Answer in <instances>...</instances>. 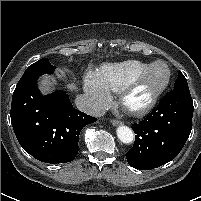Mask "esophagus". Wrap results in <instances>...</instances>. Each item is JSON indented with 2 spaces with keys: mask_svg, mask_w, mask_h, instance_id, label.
<instances>
[{
  "mask_svg": "<svg viewBox=\"0 0 201 201\" xmlns=\"http://www.w3.org/2000/svg\"><path fill=\"white\" fill-rule=\"evenodd\" d=\"M111 123H112L113 126H119V125L122 124V122L120 120H118V119H112Z\"/></svg>",
  "mask_w": 201,
  "mask_h": 201,
  "instance_id": "1",
  "label": "esophagus"
}]
</instances>
